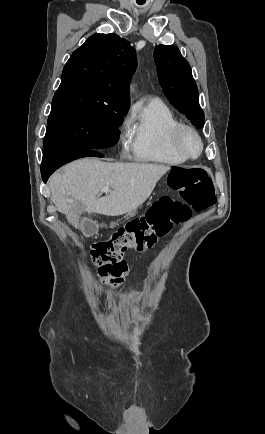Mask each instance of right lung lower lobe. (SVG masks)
<instances>
[{
  "mask_svg": "<svg viewBox=\"0 0 265 434\" xmlns=\"http://www.w3.org/2000/svg\"><path fill=\"white\" fill-rule=\"evenodd\" d=\"M98 150H80V151H61L53 152L43 156L41 164V175L46 183L49 176L60 166L73 160L83 157H102Z\"/></svg>",
  "mask_w": 265,
  "mask_h": 434,
  "instance_id": "1",
  "label": "right lung lower lobe"
}]
</instances>
